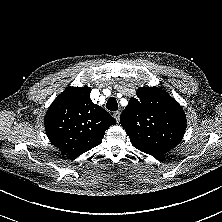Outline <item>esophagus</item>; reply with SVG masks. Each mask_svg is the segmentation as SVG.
<instances>
[{
	"instance_id": "obj_1",
	"label": "esophagus",
	"mask_w": 222,
	"mask_h": 222,
	"mask_svg": "<svg viewBox=\"0 0 222 222\" xmlns=\"http://www.w3.org/2000/svg\"><path fill=\"white\" fill-rule=\"evenodd\" d=\"M113 117L116 119L117 122H119V120H120V111L114 112Z\"/></svg>"
}]
</instances>
